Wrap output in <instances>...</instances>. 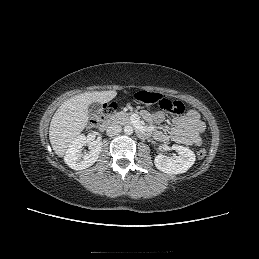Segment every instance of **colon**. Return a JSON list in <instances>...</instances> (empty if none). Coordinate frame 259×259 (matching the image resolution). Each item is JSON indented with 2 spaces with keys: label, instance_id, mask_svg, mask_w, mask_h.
<instances>
[{
  "label": "colon",
  "instance_id": "colon-1",
  "mask_svg": "<svg viewBox=\"0 0 259 259\" xmlns=\"http://www.w3.org/2000/svg\"><path fill=\"white\" fill-rule=\"evenodd\" d=\"M133 99L142 104H147V105L156 104L161 109L174 114L180 115L185 112V105L181 101L172 100L169 97L159 93L142 90V91L136 92L133 96ZM116 108H117V105L114 102L103 105L101 110V115L95 121H93V124H97L102 119L113 115ZM206 153L207 152L205 149H200L197 151V157L200 160H202L206 156Z\"/></svg>",
  "mask_w": 259,
  "mask_h": 259
}]
</instances>
